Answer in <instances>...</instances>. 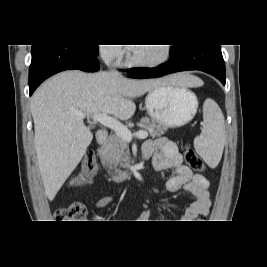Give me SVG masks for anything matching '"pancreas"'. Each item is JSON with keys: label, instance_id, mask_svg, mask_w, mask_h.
<instances>
[{"label": "pancreas", "instance_id": "obj_1", "mask_svg": "<svg viewBox=\"0 0 267 267\" xmlns=\"http://www.w3.org/2000/svg\"><path fill=\"white\" fill-rule=\"evenodd\" d=\"M141 127L148 130L152 138L161 136L167 128L155 122H150L148 118L141 120ZM102 163L108 168V172H120V168H126L130 162V152L128 142L117 134L109 137L102 148Z\"/></svg>", "mask_w": 267, "mask_h": 267}]
</instances>
